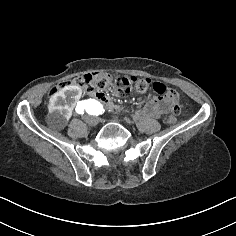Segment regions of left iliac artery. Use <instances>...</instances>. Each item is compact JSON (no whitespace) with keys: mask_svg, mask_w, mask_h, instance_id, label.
Listing matches in <instances>:
<instances>
[{"mask_svg":"<svg viewBox=\"0 0 236 236\" xmlns=\"http://www.w3.org/2000/svg\"><path fill=\"white\" fill-rule=\"evenodd\" d=\"M85 108L86 112L90 115H96L98 116L99 114H102L105 110L103 109L102 104L98 102L95 99H88L85 102Z\"/></svg>","mask_w":236,"mask_h":236,"instance_id":"left-iliac-artery-1","label":"left iliac artery"}]
</instances>
